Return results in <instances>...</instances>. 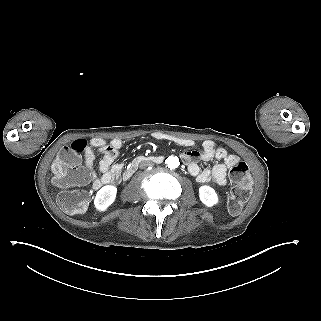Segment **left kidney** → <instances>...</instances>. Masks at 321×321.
<instances>
[{
    "mask_svg": "<svg viewBox=\"0 0 321 321\" xmlns=\"http://www.w3.org/2000/svg\"><path fill=\"white\" fill-rule=\"evenodd\" d=\"M199 197L203 204L207 207H212L218 203V196L213 188L210 186H201L199 188Z\"/></svg>",
    "mask_w": 321,
    "mask_h": 321,
    "instance_id": "1",
    "label": "left kidney"
}]
</instances>
